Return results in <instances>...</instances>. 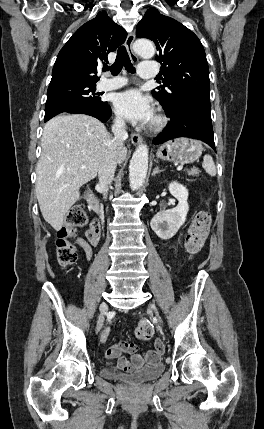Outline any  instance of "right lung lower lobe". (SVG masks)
I'll list each match as a JSON object with an SVG mask.
<instances>
[{
	"mask_svg": "<svg viewBox=\"0 0 264 429\" xmlns=\"http://www.w3.org/2000/svg\"><path fill=\"white\" fill-rule=\"evenodd\" d=\"M62 113H80L87 114L99 119L102 122H106L111 116V109L107 106V102L101 108H93L87 106H78L74 108H70ZM46 122V121H45Z\"/></svg>",
	"mask_w": 264,
	"mask_h": 429,
	"instance_id": "obj_1",
	"label": "right lung lower lobe"
}]
</instances>
